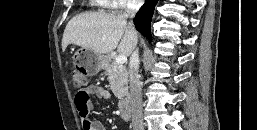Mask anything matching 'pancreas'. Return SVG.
Returning a JSON list of instances; mask_svg holds the SVG:
<instances>
[{
  "label": "pancreas",
  "mask_w": 257,
  "mask_h": 130,
  "mask_svg": "<svg viewBox=\"0 0 257 130\" xmlns=\"http://www.w3.org/2000/svg\"><path fill=\"white\" fill-rule=\"evenodd\" d=\"M105 75L117 98L122 99L128 94V72L125 66L109 60L105 65Z\"/></svg>",
  "instance_id": "pancreas-1"
}]
</instances>
